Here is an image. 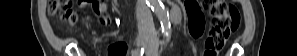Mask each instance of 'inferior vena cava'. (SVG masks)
<instances>
[{"instance_id": "602c4592", "label": "inferior vena cava", "mask_w": 297, "mask_h": 56, "mask_svg": "<svg viewBox=\"0 0 297 56\" xmlns=\"http://www.w3.org/2000/svg\"><path fill=\"white\" fill-rule=\"evenodd\" d=\"M136 18L139 29H142L147 34L155 39V31L153 28V19L150 11L145 5L144 0H139L136 6Z\"/></svg>"}]
</instances>
